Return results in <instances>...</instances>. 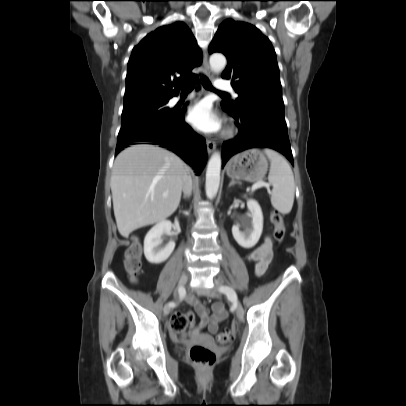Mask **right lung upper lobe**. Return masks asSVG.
<instances>
[{
  "mask_svg": "<svg viewBox=\"0 0 406 406\" xmlns=\"http://www.w3.org/2000/svg\"><path fill=\"white\" fill-rule=\"evenodd\" d=\"M201 63L202 52L185 23L159 27L132 51L124 106L143 100L170 99L177 95L178 83L192 78L191 70Z\"/></svg>",
  "mask_w": 406,
  "mask_h": 406,
  "instance_id": "cb5924a9",
  "label": "right lung upper lobe"
}]
</instances>
